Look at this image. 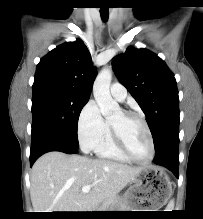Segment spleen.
<instances>
[{
    "label": "spleen",
    "mask_w": 203,
    "mask_h": 219,
    "mask_svg": "<svg viewBox=\"0 0 203 219\" xmlns=\"http://www.w3.org/2000/svg\"><path fill=\"white\" fill-rule=\"evenodd\" d=\"M168 207H169V208H173V207H174V201H173V200L170 201Z\"/></svg>",
    "instance_id": "obj_1"
}]
</instances>
